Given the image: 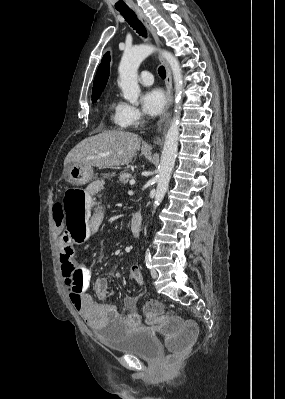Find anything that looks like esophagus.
<instances>
[{
  "instance_id": "obj_1",
  "label": "esophagus",
  "mask_w": 285,
  "mask_h": 399,
  "mask_svg": "<svg viewBox=\"0 0 285 399\" xmlns=\"http://www.w3.org/2000/svg\"><path fill=\"white\" fill-rule=\"evenodd\" d=\"M132 9L135 11V13L137 14L140 21L149 30V32L152 34L153 38L155 39L156 43L159 45L160 44L159 37L156 33L154 26L150 23L147 16L144 14V12L141 10V8L139 6H134ZM159 58H160V61L162 62V64L164 65L165 71H166V82L165 83H166V89H167L166 95H167V99H168V106H167L168 111L165 113L163 119L161 120V123L159 125V129H160L162 122L165 121L166 126L169 124V120H170V116H171L169 109L173 103V96H172V76H171L170 68L162 56H159Z\"/></svg>"
}]
</instances>
